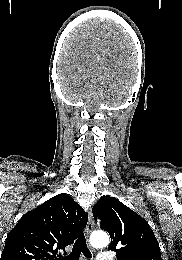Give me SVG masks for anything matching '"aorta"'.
I'll return each mask as SVG.
<instances>
[{"label": "aorta", "instance_id": "aorta-1", "mask_svg": "<svg viewBox=\"0 0 182 260\" xmlns=\"http://www.w3.org/2000/svg\"><path fill=\"white\" fill-rule=\"evenodd\" d=\"M90 244L95 248H103L109 244V236L105 232L93 233L90 237Z\"/></svg>", "mask_w": 182, "mask_h": 260}]
</instances>
